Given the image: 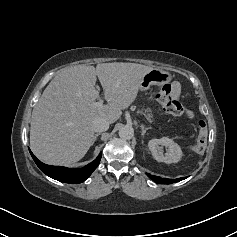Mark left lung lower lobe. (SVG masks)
I'll list each match as a JSON object with an SVG mask.
<instances>
[{
	"instance_id": "left-lung-lower-lobe-1",
	"label": "left lung lower lobe",
	"mask_w": 237,
	"mask_h": 237,
	"mask_svg": "<svg viewBox=\"0 0 237 237\" xmlns=\"http://www.w3.org/2000/svg\"><path fill=\"white\" fill-rule=\"evenodd\" d=\"M147 176L150 177L153 181H155L158 184H172V183L184 180L186 178V177H182V178H177V179H167V178H161L158 176H153L150 174H147Z\"/></svg>"
}]
</instances>
